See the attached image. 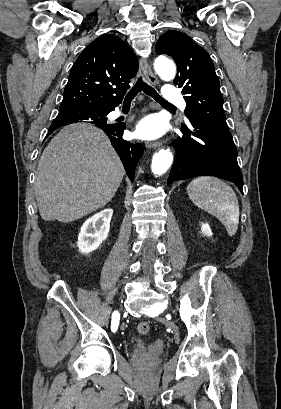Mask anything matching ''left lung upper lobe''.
Listing matches in <instances>:
<instances>
[{
	"mask_svg": "<svg viewBox=\"0 0 281 409\" xmlns=\"http://www.w3.org/2000/svg\"><path fill=\"white\" fill-rule=\"evenodd\" d=\"M156 53L170 55L177 65L175 85L182 88L187 118H196L228 129L223 96L209 54L188 35L179 31L164 33L156 43Z\"/></svg>",
	"mask_w": 281,
	"mask_h": 409,
	"instance_id": "obj_1",
	"label": "left lung upper lobe"
}]
</instances>
